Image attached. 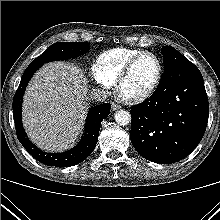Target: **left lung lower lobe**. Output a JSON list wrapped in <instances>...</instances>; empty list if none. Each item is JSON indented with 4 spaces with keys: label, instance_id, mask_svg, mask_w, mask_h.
I'll use <instances>...</instances> for the list:
<instances>
[{
    "label": "left lung lower lobe",
    "instance_id": "obj_1",
    "mask_svg": "<svg viewBox=\"0 0 220 220\" xmlns=\"http://www.w3.org/2000/svg\"><path fill=\"white\" fill-rule=\"evenodd\" d=\"M130 113L131 143L142 157L160 164L182 160L199 144L208 122L201 72L191 62L168 68L151 97Z\"/></svg>",
    "mask_w": 220,
    "mask_h": 220
}]
</instances>
